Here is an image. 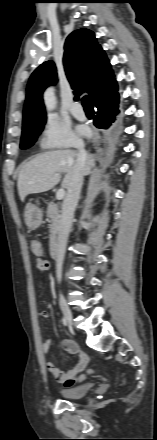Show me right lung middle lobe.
<instances>
[{"label":"right lung middle lobe","mask_w":157,"mask_h":440,"mask_svg":"<svg viewBox=\"0 0 157 440\" xmlns=\"http://www.w3.org/2000/svg\"><path fill=\"white\" fill-rule=\"evenodd\" d=\"M45 122L33 123L30 125H26L22 129V137H21V149H27L31 147L36 141L38 135L43 130Z\"/></svg>","instance_id":"right-lung-middle-lobe-1"}]
</instances>
